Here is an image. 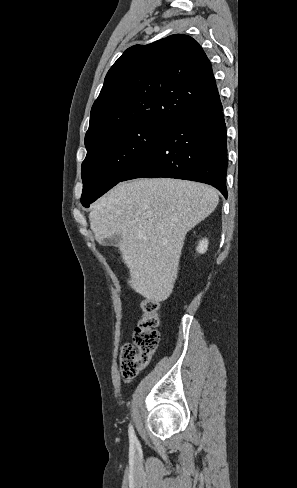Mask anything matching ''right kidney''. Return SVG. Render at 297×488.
Returning a JSON list of instances; mask_svg holds the SVG:
<instances>
[{"label":"right kidney","mask_w":297,"mask_h":488,"mask_svg":"<svg viewBox=\"0 0 297 488\" xmlns=\"http://www.w3.org/2000/svg\"><path fill=\"white\" fill-rule=\"evenodd\" d=\"M207 248H208V240L205 238L199 241L196 251L199 254H204Z\"/></svg>","instance_id":"ca27d5eb"}]
</instances>
